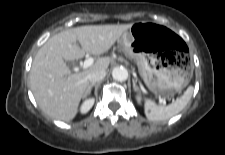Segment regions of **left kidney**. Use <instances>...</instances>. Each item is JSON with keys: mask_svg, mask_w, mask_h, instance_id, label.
<instances>
[{"mask_svg": "<svg viewBox=\"0 0 225 155\" xmlns=\"http://www.w3.org/2000/svg\"><path fill=\"white\" fill-rule=\"evenodd\" d=\"M136 99H137L138 103H141V96L140 95H137Z\"/></svg>", "mask_w": 225, "mask_h": 155, "instance_id": "obj_1", "label": "left kidney"}]
</instances>
